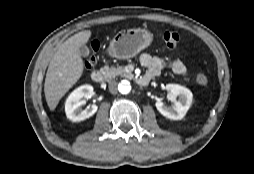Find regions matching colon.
<instances>
[{
    "mask_svg": "<svg viewBox=\"0 0 254 174\" xmlns=\"http://www.w3.org/2000/svg\"><path fill=\"white\" fill-rule=\"evenodd\" d=\"M163 39L165 41V43L169 46H175L179 40H180V37H179V34L175 31H165L164 34H163ZM98 48H99V45L98 43H95L93 46H92V51H91V54L90 56L87 58L86 62H85V65L87 67H91L94 62H95V55L98 51ZM196 81L198 84L202 85V86H205L208 84V78L205 74L203 73H198L196 75Z\"/></svg>",
    "mask_w": 254,
    "mask_h": 174,
    "instance_id": "1",
    "label": "colon"
}]
</instances>
